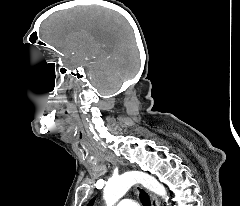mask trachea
Masks as SVG:
<instances>
[{
	"label": "trachea",
	"mask_w": 240,
	"mask_h": 206,
	"mask_svg": "<svg viewBox=\"0 0 240 206\" xmlns=\"http://www.w3.org/2000/svg\"><path fill=\"white\" fill-rule=\"evenodd\" d=\"M140 198H141V201L143 202V204H144L145 206H151L149 197H148V195L145 193V191H143V190L140 191Z\"/></svg>",
	"instance_id": "3493384b"
}]
</instances>
